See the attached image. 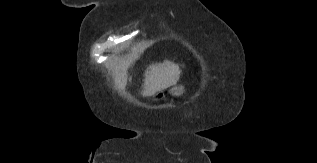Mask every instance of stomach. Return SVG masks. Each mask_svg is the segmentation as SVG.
<instances>
[{"label":"stomach","mask_w":317,"mask_h":163,"mask_svg":"<svg viewBox=\"0 0 317 163\" xmlns=\"http://www.w3.org/2000/svg\"><path fill=\"white\" fill-rule=\"evenodd\" d=\"M183 91V87H174L173 89H171L170 93L172 95L179 96L183 93ZM160 98V95L155 96V100H159Z\"/></svg>","instance_id":"obj_1"}]
</instances>
